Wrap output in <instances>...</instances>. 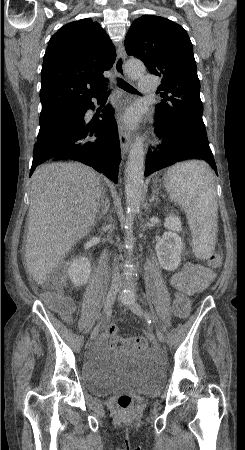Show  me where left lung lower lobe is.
<instances>
[{
    "mask_svg": "<svg viewBox=\"0 0 245 450\" xmlns=\"http://www.w3.org/2000/svg\"><path fill=\"white\" fill-rule=\"evenodd\" d=\"M156 117L158 123L155 124V133L163 139V143L158 151H148L145 176L186 159L204 160L216 172L217 166L208 140L172 131L157 115Z\"/></svg>",
    "mask_w": 245,
    "mask_h": 450,
    "instance_id": "1",
    "label": "left lung lower lobe"
}]
</instances>
